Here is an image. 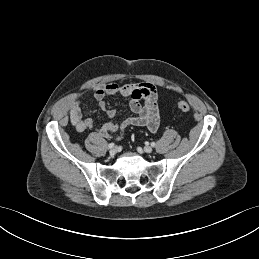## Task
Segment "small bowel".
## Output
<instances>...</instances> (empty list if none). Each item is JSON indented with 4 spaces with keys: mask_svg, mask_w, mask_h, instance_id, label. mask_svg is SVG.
<instances>
[{
    "mask_svg": "<svg viewBox=\"0 0 259 259\" xmlns=\"http://www.w3.org/2000/svg\"><path fill=\"white\" fill-rule=\"evenodd\" d=\"M120 95L129 101L134 116L127 117L118 122L115 120L117 111L109 108L105 98ZM92 96L98 102L101 110L105 111L108 121L100 128H96L92 118L86 117L82 110L83 94L70 97L67 101L69 119L76 130L83 132L95 130L100 137L116 138L121 140L127 127L142 126L155 133L160 125V113L157 106V91L150 83L118 84L107 83L96 87Z\"/></svg>",
    "mask_w": 259,
    "mask_h": 259,
    "instance_id": "small-bowel-1",
    "label": "small bowel"
}]
</instances>
